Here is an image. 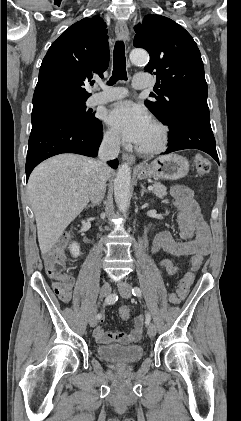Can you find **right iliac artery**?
I'll return each mask as SVG.
<instances>
[{
    "label": "right iliac artery",
    "instance_id": "1",
    "mask_svg": "<svg viewBox=\"0 0 241 421\" xmlns=\"http://www.w3.org/2000/svg\"><path fill=\"white\" fill-rule=\"evenodd\" d=\"M117 300H118V296H116L115 294H111V295H109V296L105 299V304H106V305H111V304H114ZM96 318H97V319H100V318H101V314H100V313H98V314L96 315Z\"/></svg>",
    "mask_w": 241,
    "mask_h": 421
}]
</instances>
